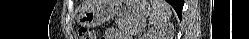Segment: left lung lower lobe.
<instances>
[{"mask_svg": "<svg viewBox=\"0 0 249 39\" xmlns=\"http://www.w3.org/2000/svg\"><path fill=\"white\" fill-rule=\"evenodd\" d=\"M167 1L173 6L179 18H181L184 1L183 0H167Z\"/></svg>", "mask_w": 249, "mask_h": 39, "instance_id": "left-lung-lower-lobe-1", "label": "left lung lower lobe"}]
</instances>
